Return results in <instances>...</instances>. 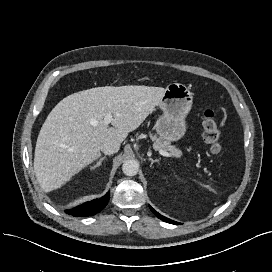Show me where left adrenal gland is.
I'll return each instance as SVG.
<instances>
[{
    "label": "left adrenal gland",
    "mask_w": 272,
    "mask_h": 272,
    "mask_svg": "<svg viewBox=\"0 0 272 272\" xmlns=\"http://www.w3.org/2000/svg\"><path fill=\"white\" fill-rule=\"evenodd\" d=\"M148 160L151 162V164H150V167L153 165V163H155V162H159V159H152V158H148Z\"/></svg>",
    "instance_id": "obj_1"
}]
</instances>
